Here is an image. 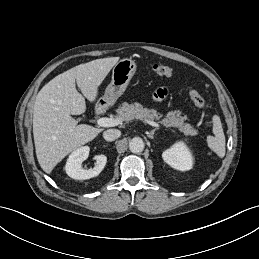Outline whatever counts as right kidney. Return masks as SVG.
<instances>
[{
    "instance_id": "obj_1",
    "label": "right kidney",
    "mask_w": 259,
    "mask_h": 259,
    "mask_svg": "<svg viewBox=\"0 0 259 259\" xmlns=\"http://www.w3.org/2000/svg\"><path fill=\"white\" fill-rule=\"evenodd\" d=\"M89 151L90 148L88 146H83L70 154L65 166L66 173L69 177L77 180H86L98 176L104 169L107 162L105 155L94 156L96 160L94 168L88 170L82 169V162L88 158Z\"/></svg>"
}]
</instances>
